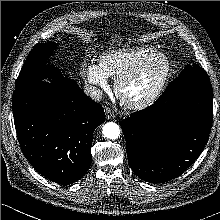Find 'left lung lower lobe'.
<instances>
[{
	"label": "left lung lower lobe",
	"instance_id": "1",
	"mask_svg": "<svg viewBox=\"0 0 220 220\" xmlns=\"http://www.w3.org/2000/svg\"><path fill=\"white\" fill-rule=\"evenodd\" d=\"M212 118L210 81L165 91L154 104L121 122L131 169L150 183L180 176L204 149Z\"/></svg>",
	"mask_w": 220,
	"mask_h": 220
}]
</instances>
